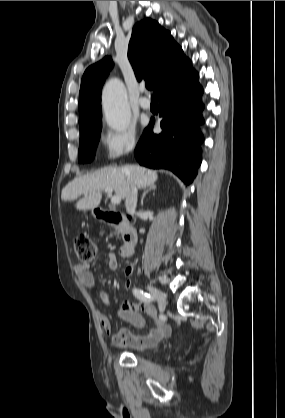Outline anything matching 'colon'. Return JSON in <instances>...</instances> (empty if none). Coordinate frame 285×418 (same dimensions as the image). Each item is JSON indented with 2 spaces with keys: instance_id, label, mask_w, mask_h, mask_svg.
I'll use <instances>...</instances> for the list:
<instances>
[{
  "instance_id": "obj_1",
  "label": "colon",
  "mask_w": 285,
  "mask_h": 418,
  "mask_svg": "<svg viewBox=\"0 0 285 418\" xmlns=\"http://www.w3.org/2000/svg\"><path fill=\"white\" fill-rule=\"evenodd\" d=\"M134 218L130 216L124 217V223L131 224ZM74 248L77 258L81 262H87L93 258L96 253V245L92 238L87 234L78 235L74 240Z\"/></svg>"
}]
</instances>
